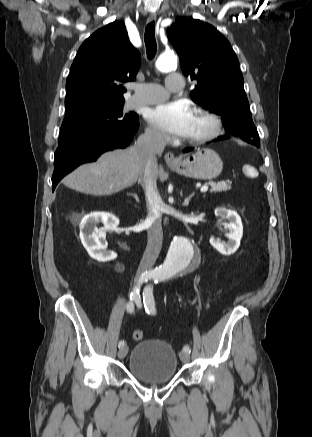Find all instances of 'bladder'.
<instances>
[{
  "instance_id": "obj_1",
  "label": "bladder",
  "mask_w": 312,
  "mask_h": 437,
  "mask_svg": "<svg viewBox=\"0 0 312 437\" xmlns=\"http://www.w3.org/2000/svg\"><path fill=\"white\" fill-rule=\"evenodd\" d=\"M129 372L137 380L148 384H164L177 372V356L171 345L160 339L143 340L133 348Z\"/></svg>"
}]
</instances>
